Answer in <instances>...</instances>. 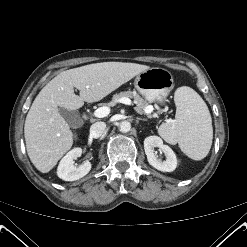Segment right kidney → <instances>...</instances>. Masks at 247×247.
<instances>
[{
    "label": "right kidney",
    "mask_w": 247,
    "mask_h": 247,
    "mask_svg": "<svg viewBox=\"0 0 247 247\" xmlns=\"http://www.w3.org/2000/svg\"><path fill=\"white\" fill-rule=\"evenodd\" d=\"M82 155L81 148H74L69 151L60 161L57 169V175L64 181H75L86 174L91 170V163L85 161L80 166L74 165V159H77Z\"/></svg>",
    "instance_id": "right-kidney-1"
}]
</instances>
